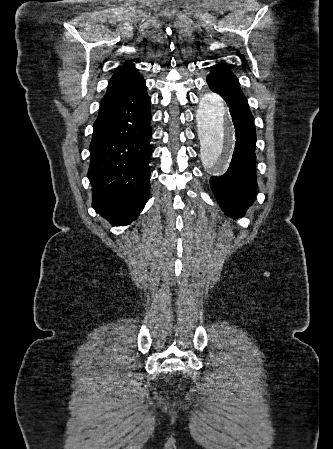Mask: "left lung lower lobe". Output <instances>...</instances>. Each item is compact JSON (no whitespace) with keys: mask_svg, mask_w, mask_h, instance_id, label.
I'll return each mask as SVG.
<instances>
[{"mask_svg":"<svg viewBox=\"0 0 333 449\" xmlns=\"http://www.w3.org/2000/svg\"><path fill=\"white\" fill-rule=\"evenodd\" d=\"M207 83L226 101L236 133L228 171L222 176H212L210 184L222 210L228 216L237 218L253 203L257 188L254 118L235 76L213 71L207 76Z\"/></svg>","mask_w":333,"mask_h":449,"instance_id":"1","label":"left lung lower lobe"}]
</instances>
